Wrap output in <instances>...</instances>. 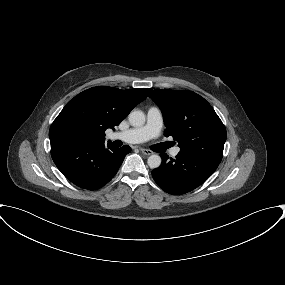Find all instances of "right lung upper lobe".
Returning <instances> with one entry per match:
<instances>
[{
    "instance_id": "obj_1",
    "label": "right lung upper lobe",
    "mask_w": 285,
    "mask_h": 285,
    "mask_svg": "<svg viewBox=\"0 0 285 285\" xmlns=\"http://www.w3.org/2000/svg\"><path fill=\"white\" fill-rule=\"evenodd\" d=\"M152 89L120 90L93 87L71 99L49 130L50 141L74 138L89 143H104L105 130L114 129Z\"/></svg>"
}]
</instances>
